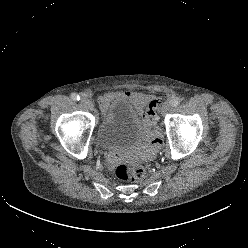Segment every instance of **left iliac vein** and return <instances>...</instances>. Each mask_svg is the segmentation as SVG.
<instances>
[{"label":"left iliac vein","mask_w":248,"mask_h":248,"mask_svg":"<svg viewBox=\"0 0 248 248\" xmlns=\"http://www.w3.org/2000/svg\"><path fill=\"white\" fill-rule=\"evenodd\" d=\"M171 106H172V103L170 101H166L163 106H162V113H167L170 111L171 109Z\"/></svg>","instance_id":"left-iliac-vein-1"}]
</instances>
